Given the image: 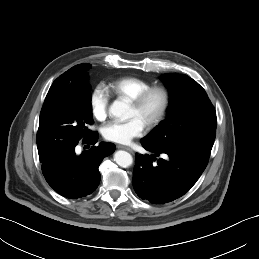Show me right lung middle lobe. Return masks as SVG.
I'll return each mask as SVG.
<instances>
[{"mask_svg": "<svg viewBox=\"0 0 259 259\" xmlns=\"http://www.w3.org/2000/svg\"><path fill=\"white\" fill-rule=\"evenodd\" d=\"M88 68L90 65L80 74L85 87L83 92L43 104L37 132L40 159L66 153L93 133L87 128L93 121Z\"/></svg>", "mask_w": 259, "mask_h": 259, "instance_id": "1", "label": "right lung middle lobe"}]
</instances>
